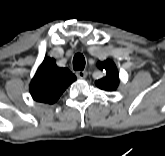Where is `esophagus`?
Returning a JSON list of instances; mask_svg holds the SVG:
<instances>
[{
	"label": "esophagus",
	"mask_w": 165,
	"mask_h": 156,
	"mask_svg": "<svg viewBox=\"0 0 165 156\" xmlns=\"http://www.w3.org/2000/svg\"><path fill=\"white\" fill-rule=\"evenodd\" d=\"M76 76L80 79H84L87 76V71H77Z\"/></svg>",
	"instance_id": "esophagus-1"
}]
</instances>
